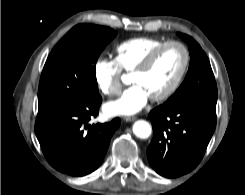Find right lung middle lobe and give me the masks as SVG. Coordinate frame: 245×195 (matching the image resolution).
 I'll use <instances>...</instances> for the list:
<instances>
[{"label":"right lung middle lobe","instance_id":"right-lung-middle-lobe-1","mask_svg":"<svg viewBox=\"0 0 245 195\" xmlns=\"http://www.w3.org/2000/svg\"><path fill=\"white\" fill-rule=\"evenodd\" d=\"M116 35L108 27L91 24L73 27L57 43L44 65L38 89V111L98 98L95 65L102 50Z\"/></svg>","mask_w":245,"mask_h":195}]
</instances>
